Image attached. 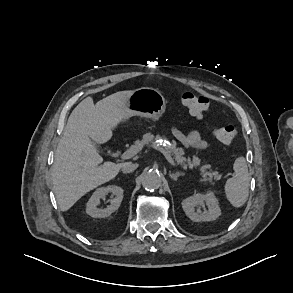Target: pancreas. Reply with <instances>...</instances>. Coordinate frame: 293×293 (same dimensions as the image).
Listing matches in <instances>:
<instances>
[{"mask_svg": "<svg viewBox=\"0 0 293 293\" xmlns=\"http://www.w3.org/2000/svg\"><path fill=\"white\" fill-rule=\"evenodd\" d=\"M162 139L160 135L154 136L151 133H146L143 135L142 140H137L134 143V146H140L143 147L145 145H155V140ZM166 151L170 156L173 157L175 162L178 165H181L184 169L187 168H194L199 167L200 174L202 176V181L205 184H211L213 185V180H219L221 178V175L217 171H213L211 165L204 164L201 165V160L197 156L185 157V152L182 148L177 147L176 141H172L170 145L166 146Z\"/></svg>", "mask_w": 293, "mask_h": 293, "instance_id": "cf45deb5", "label": "pancreas"}]
</instances>
